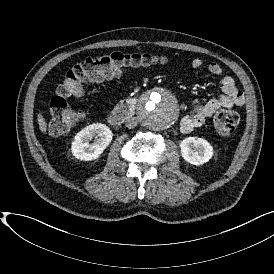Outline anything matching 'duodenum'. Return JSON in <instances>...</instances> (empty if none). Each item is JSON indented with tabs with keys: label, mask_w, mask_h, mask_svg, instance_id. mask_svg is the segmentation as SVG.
<instances>
[{
	"label": "duodenum",
	"mask_w": 274,
	"mask_h": 274,
	"mask_svg": "<svg viewBox=\"0 0 274 274\" xmlns=\"http://www.w3.org/2000/svg\"><path fill=\"white\" fill-rule=\"evenodd\" d=\"M138 100L129 98L121 102L109 115V121L113 125H120L133 116Z\"/></svg>",
	"instance_id": "1"
}]
</instances>
